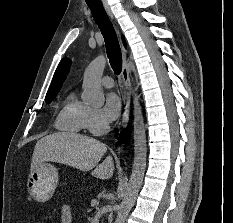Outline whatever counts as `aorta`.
I'll use <instances>...</instances> for the list:
<instances>
[{"label":"aorta","instance_id":"1","mask_svg":"<svg viewBox=\"0 0 233 223\" xmlns=\"http://www.w3.org/2000/svg\"><path fill=\"white\" fill-rule=\"evenodd\" d=\"M105 58H96L84 72L83 94L81 96L84 104L104 106L105 98L101 86V78L104 72ZM135 92V90H134ZM134 104V163L129 183L124 191L119 215L125 217L129 209L135 203L138 191L142 185L146 165V133L144 129L143 115L137 94H133Z\"/></svg>","mask_w":233,"mask_h":223}]
</instances>
